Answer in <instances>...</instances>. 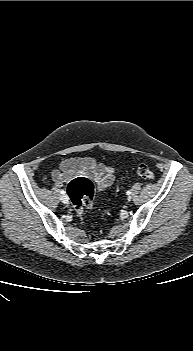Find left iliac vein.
Wrapping results in <instances>:
<instances>
[{
    "instance_id": "4c4485c4",
    "label": "left iliac vein",
    "mask_w": 193,
    "mask_h": 351,
    "mask_svg": "<svg viewBox=\"0 0 193 351\" xmlns=\"http://www.w3.org/2000/svg\"><path fill=\"white\" fill-rule=\"evenodd\" d=\"M130 200H131V197L129 196V197H128V201H130Z\"/></svg>"
}]
</instances>
